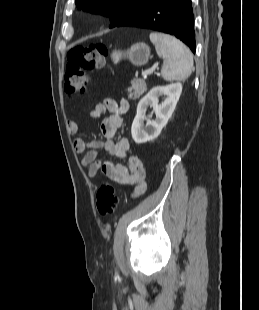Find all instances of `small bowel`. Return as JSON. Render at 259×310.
<instances>
[{
    "instance_id": "small-bowel-1",
    "label": "small bowel",
    "mask_w": 259,
    "mask_h": 310,
    "mask_svg": "<svg viewBox=\"0 0 259 310\" xmlns=\"http://www.w3.org/2000/svg\"><path fill=\"white\" fill-rule=\"evenodd\" d=\"M129 102L121 99L119 102L113 99H106L98 103L90 111L93 119L102 118L100 130L102 139L86 142L82 138H76L74 148L81 154V165L87 168L89 178H95L103 173L110 180L134 187L133 195L141 196L147 189L146 172L142 160L136 155L128 156L130 142L127 138L115 141L118 129L123 124V115L129 110ZM108 113V115H105ZM79 125L74 120L67 122V131L74 135L78 132ZM104 152L103 157L99 153ZM113 157L126 159V163H114Z\"/></svg>"
}]
</instances>
